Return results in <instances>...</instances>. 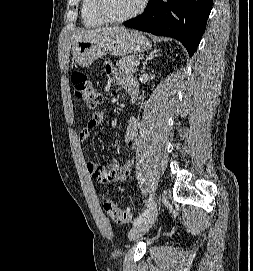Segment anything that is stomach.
<instances>
[{"label": "stomach", "mask_w": 253, "mask_h": 271, "mask_svg": "<svg viewBox=\"0 0 253 271\" xmlns=\"http://www.w3.org/2000/svg\"><path fill=\"white\" fill-rule=\"evenodd\" d=\"M149 40L137 30L118 29L89 34L74 42L73 60L81 67L90 66L101 56H126L150 49Z\"/></svg>", "instance_id": "1"}]
</instances>
